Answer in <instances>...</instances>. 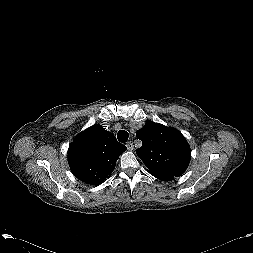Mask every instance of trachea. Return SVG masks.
I'll use <instances>...</instances> for the list:
<instances>
[{
    "label": "trachea",
    "mask_w": 253,
    "mask_h": 253,
    "mask_svg": "<svg viewBox=\"0 0 253 253\" xmlns=\"http://www.w3.org/2000/svg\"><path fill=\"white\" fill-rule=\"evenodd\" d=\"M128 137H129V134H128V132L125 131V130H120V131L118 132V134H117L118 140H119L120 142H122V143L127 142Z\"/></svg>",
    "instance_id": "trachea-1"
}]
</instances>
